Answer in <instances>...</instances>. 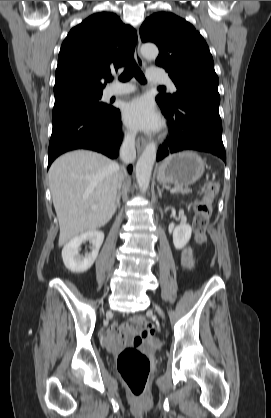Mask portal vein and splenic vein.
<instances>
[{
  "label": "portal vein and splenic vein",
  "mask_w": 271,
  "mask_h": 418,
  "mask_svg": "<svg viewBox=\"0 0 271 418\" xmlns=\"http://www.w3.org/2000/svg\"><path fill=\"white\" fill-rule=\"evenodd\" d=\"M177 190H176V188H172L171 190H170V192L171 193H175Z\"/></svg>",
  "instance_id": "obj_1"
}]
</instances>
